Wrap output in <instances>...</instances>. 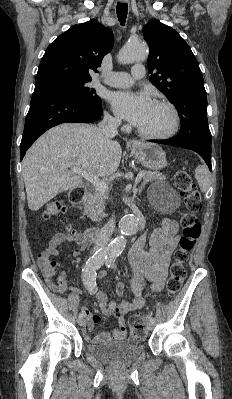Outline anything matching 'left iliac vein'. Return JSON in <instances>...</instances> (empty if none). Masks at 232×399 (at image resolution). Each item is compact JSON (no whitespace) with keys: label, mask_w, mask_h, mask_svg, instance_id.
<instances>
[{"label":"left iliac vein","mask_w":232,"mask_h":399,"mask_svg":"<svg viewBox=\"0 0 232 399\" xmlns=\"http://www.w3.org/2000/svg\"><path fill=\"white\" fill-rule=\"evenodd\" d=\"M154 328V322L150 321L149 324L147 325V329H153Z\"/></svg>","instance_id":"1"}]
</instances>
